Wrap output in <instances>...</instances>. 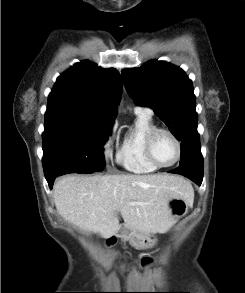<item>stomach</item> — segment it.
I'll return each instance as SVG.
<instances>
[{
    "label": "stomach",
    "instance_id": "stomach-1",
    "mask_svg": "<svg viewBox=\"0 0 245 293\" xmlns=\"http://www.w3.org/2000/svg\"><path fill=\"white\" fill-rule=\"evenodd\" d=\"M189 204L184 198H171L169 200V209L174 218L184 216L188 211ZM118 236L127 239L132 246L137 249H148L154 244L153 234H143L137 231L120 229Z\"/></svg>",
    "mask_w": 245,
    "mask_h": 293
}]
</instances>
